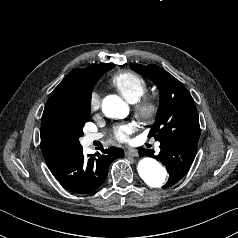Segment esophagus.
<instances>
[{
  "mask_svg": "<svg viewBox=\"0 0 238 238\" xmlns=\"http://www.w3.org/2000/svg\"><path fill=\"white\" fill-rule=\"evenodd\" d=\"M125 155L130 156V157H136L138 155V153L135 149H127L125 151Z\"/></svg>",
  "mask_w": 238,
  "mask_h": 238,
  "instance_id": "34e87169",
  "label": "esophagus"
}]
</instances>
